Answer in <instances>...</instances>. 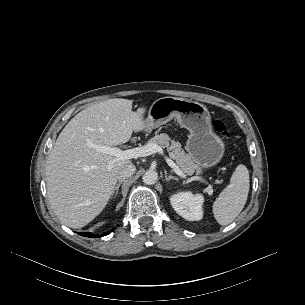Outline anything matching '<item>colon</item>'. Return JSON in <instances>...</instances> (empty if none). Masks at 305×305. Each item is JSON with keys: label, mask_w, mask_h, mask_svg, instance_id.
Instances as JSON below:
<instances>
[{"label": "colon", "mask_w": 305, "mask_h": 305, "mask_svg": "<svg viewBox=\"0 0 305 305\" xmlns=\"http://www.w3.org/2000/svg\"><path fill=\"white\" fill-rule=\"evenodd\" d=\"M213 128L216 132L221 134L225 138H229L230 134L226 128L225 123L222 120H215L213 123Z\"/></svg>", "instance_id": "5ec220e1"}]
</instances>
